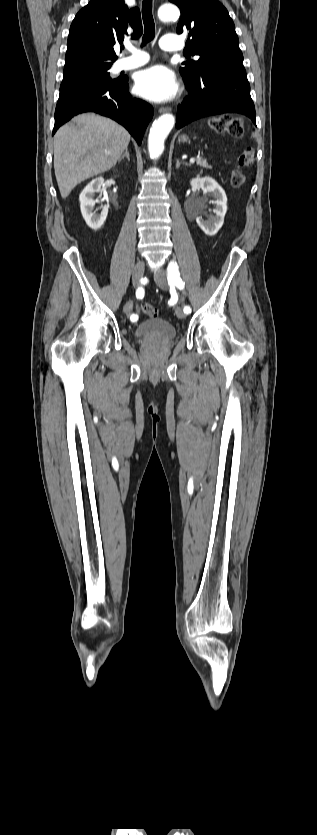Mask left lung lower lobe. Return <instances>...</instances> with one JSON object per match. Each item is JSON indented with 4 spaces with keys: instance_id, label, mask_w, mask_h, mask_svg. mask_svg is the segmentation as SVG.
<instances>
[{
    "instance_id": "obj_1",
    "label": "left lung lower lobe",
    "mask_w": 317,
    "mask_h": 835,
    "mask_svg": "<svg viewBox=\"0 0 317 835\" xmlns=\"http://www.w3.org/2000/svg\"><path fill=\"white\" fill-rule=\"evenodd\" d=\"M189 95L178 107L176 127L202 117L239 113L256 125L254 103L246 71L240 63L214 62L194 79L184 78Z\"/></svg>"
}]
</instances>
